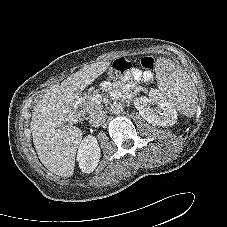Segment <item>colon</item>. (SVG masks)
I'll use <instances>...</instances> for the list:
<instances>
[{
    "label": "colon",
    "instance_id": "obj_1",
    "mask_svg": "<svg viewBox=\"0 0 227 227\" xmlns=\"http://www.w3.org/2000/svg\"><path fill=\"white\" fill-rule=\"evenodd\" d=\"M140 65L145 72L151 73L155 68V60L151 56H146L140 60ZM130 68L131 63L128 60L124 58L118 59L113 63L112 67L110 68V75L116 78L130 70Z\"/></svg>",
    "mask_w": 227,
    "mask_h": 227
}]
</instances>
